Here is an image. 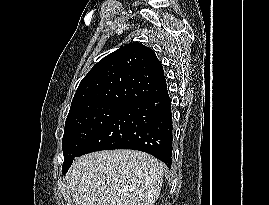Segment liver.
Instances as JSON below:
<instances>
[{
	"mask_svg": "<svg viewBox=\"0 0 269 205\" xmlns=\"http://www.w3.org/2000/svg\"><path fill=\"white\" fill-rule=\"evenodd\" d=\"M164 165L135 150L93 152L77 158L68 176L75 205H153Z\"/></svg>",
	"mask_w": 269,
	"mask_h": 205,
	"instance_id": "liver-1",
	"label": "liver"
}]
</instances>
